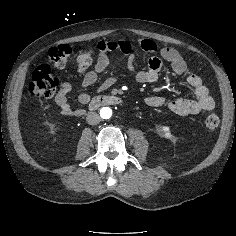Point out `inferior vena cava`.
<instances>
[{
	"mask_svg": "<svg viewBox=\"0 0 236 236\" xmlns=\"http://www.w3.org/2000/svg\"><path fill=\"white\" fill-rule=\"evenodd\" d=\"M86 120H87L88 124L96 125L101 121V117L99 116V114H97L95 112H89L87 114Z\"/></svg>",
	"mask_w": 236,
	"mask_h": 236,
	"instance_id": "inferior-vena-cava-1",
	"label": "inferior vena cava"
}]
</instances>
